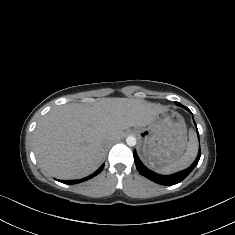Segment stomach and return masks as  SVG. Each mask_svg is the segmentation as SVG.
<instances>
[{
  "instance_id": "obj_1",
  "label": "stomach",
  "mask_w": 235,
  "mask_h": 235,
  "mask_svg": "<svg viewBox=\"0 0 235 235\" xmlns=\"http://www.w3.org/2000/svg\"><path fill=\"white\" fill-rule=\"evenodd\" d=\"M141 156L149 167H162L179 159L187 148V129L177 112L164 109L146 127L136 128Z\"/></svg>"
}]
</instances>
